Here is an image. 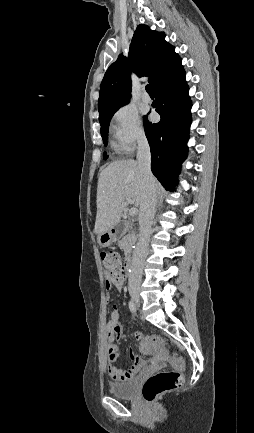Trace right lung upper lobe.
Listing matches in <instances>:
<instances>
[{"mask_svg":"<svg viewBox=\"0 0 254 433\" xmlns=\"http://www.w3.org/2000/svg\"><path fill=\"white\" fill-rule=\"evenodd\" d=\"M181 59L174 47L165 41L164 33L140 24L134 32L128 59L122 55L107 69L100 86L99 121L105 115L125 105L131 96V72L147 76L157 86Z\"/></svg>","mask_w":254,"mask_h":433,"instance_id":"right-lung-upper-lobe-1","label":"right lung upper lobe"}]
</instances>
